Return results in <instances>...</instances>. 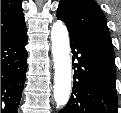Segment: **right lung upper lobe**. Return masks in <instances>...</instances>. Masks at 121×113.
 Wrapping results in <instances>:
<instances>
[{
  "label": "right lung upper lobe",
  "instance_id": "1",
  "mask_svg": "<svg viewBox=\"0 0 121 113\" xmlns=\"http://www.w3.org/2000/svg\"><path fill=\"white\" fill-rule=\"evenodd\" d=\"M25 27L21 0H1V39Z\"/></svg>",
  "mask_w": 121,
  "mask_h": 113
}]
</instances>
